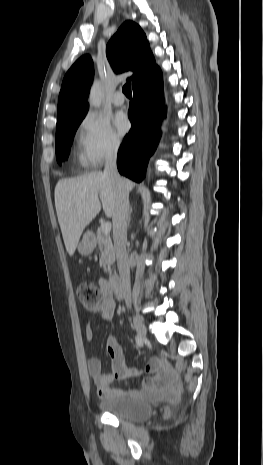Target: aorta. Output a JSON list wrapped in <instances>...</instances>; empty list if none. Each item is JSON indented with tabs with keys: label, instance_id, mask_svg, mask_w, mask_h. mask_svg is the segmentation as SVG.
<instances>
[{
	"label": "aorta",
	"instance_id": "1",
	"mask_svg": "<svg viewBox=\"0 0 263 465\" xmlns=\"http://www.w3.org/2000/svg\"><path fill=\"white\" fill-rule=\"evenodd\" d=\"M102 99L103 91L101 83L99 81H94L90 90L89 103L91 106L99 108L101 106Z\"/></svg>",
	"mask_w": 263,
	"mask_h": 465
}]
</instances>
